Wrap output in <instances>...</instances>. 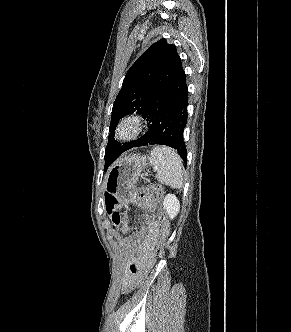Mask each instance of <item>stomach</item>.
Here are the masks:
<instances>
[{
    "mask_svg": "<svg viewBox=\"0 0 291 332\" xmlns=\"http://www.w3.org/2000/svg\"><path fill=\"white\" fill-rule=\"evenodd\" d=\"M146 166L147 158L140 154L120 159L107 172L105 177L106 190L120 202H132L135 196V184Z\"/></svg>",
    "mask_w": 291,
    "mask_h": 332,
    "instance_id": "obj_1",
    "label": "stomach"
}]
</instances>
